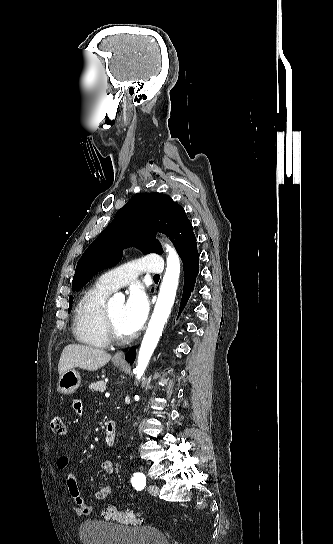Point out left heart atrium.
Wrapping results in <instances>:
<instances>
[{
    "label": "left heart atrium",
    "mask_w": 333,
    "mask_h": 544,
    "mask_svg": "<svg viewBox=\"0 0 333 544\" xmlns=\"http://www.w3.org/2000/svg\"><path fill=\"white\" fill-rule=\"evenodd\" d=\"M149 303L145 292L140 288L133 289L124 305L122 324L129 334L140 330L146 321Z\"/></svg>",
    "instance_id": "left-heart-atrium-1"
}]
</instances>
